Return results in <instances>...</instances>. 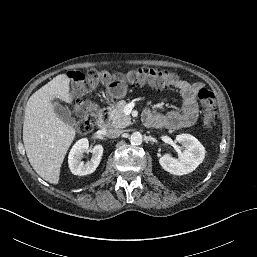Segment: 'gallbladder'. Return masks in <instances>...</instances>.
I'll use <instances>...</instances> for the list:
<instances>
[{
  "mask_svg": "<svg viewBox=\"0 0 257 257\" xmlns=\"http://www.w3.org/2000/svg\"><path fill=\"white\" fill-rule=\"evenodd\" d=\"M53 108L57 116L62 119L64 122L70 125L75 124V118L72 117L71 113L67 111L65 107H63L61 104H59L56 101H53Z\"/></svg>",
  "mask_w": 257,
  "mask_h": 257,
  "instance_id": "1",
  "label": "gallbladder"
}]
</instances>
